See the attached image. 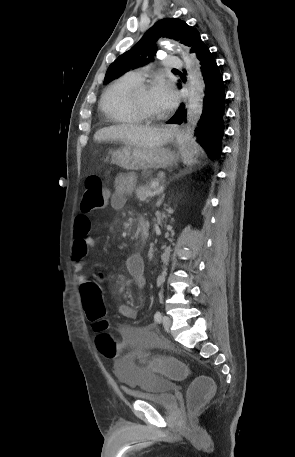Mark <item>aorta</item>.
Instances as JSON below:
<instances>
[{"instance_id": "762f6f07", "label": "aorta", "mask_w": 295, "mask_h": 457, "mask_svg": "<svg viewBox=\"0 0 295 457\" xmlns=\"http://www.w3.org/2000/svg\"><path fill=\"white\" fill-rule=\"evenodd\" d=\"M182 57L187 72L189 82V100L187 106V123L190 132L200 120L203 111V98L205 84L201 73L200 65L194 55L187 54L180 44H172Z\"/></svg>"}]
</instances>
